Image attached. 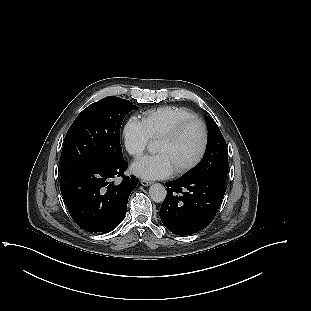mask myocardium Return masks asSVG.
<instances>
[{
    "label": "myocardium",
    "instance_id": "f54148a6",
    "mask_svg": "<svg viewBox=\"0 0 311 311\" xmlns=\"http://www.w3.org/2000/svg\"><path fill=\"white\" fill-rule=\"evenodd\" d=\"M197 125L200 128L201 131V143L199 150L195 157L191 159L189 162L179 166L178 168L175 169V174H182L190 169L194 168L204 157L207 145H208V131L205 123L199 119V118H190L183 120L179 123H177L174 127H172L170 130L167 132L163 133L158 140H163V141H174L177 138L180 137V135L189 127Z\"/></svg>",
    "mask_w": 311,
    "mask_h": 311
}]
</instances>
